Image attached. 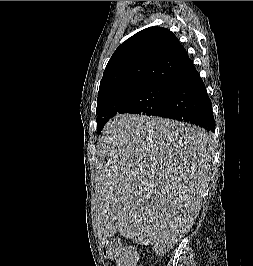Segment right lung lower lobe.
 Returning <instances> with one entry per match:
<instances>
[{
	"instance_id": "1",
	"label": "right lung lower lobe",
	"mask_w": 253,
	"mask_h": 266,
	"mask_svg": "<svg viewBox=\"0 0 253 266\" xmlns=\"http://www.w3.org/2000/svg\"><path fill=\"white\" fill-rule=\"evenodd\" d=\"M159 116L215 131L211 100L194 66L171 82L164 111Z\"/></svg>"
}]
</instances>
